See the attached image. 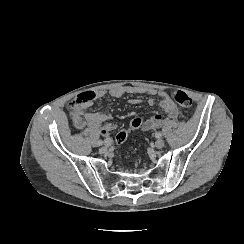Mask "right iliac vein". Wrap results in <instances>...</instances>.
I'll return each mask as SVG.
<instances>
[{
  "label": "right iliac vein",
  "instance_id": "63e3f726",
  "mask_svg": "<svg viewBox=\"0 0 244 244\" xmlns=\"http://www.w3.org/2000/svg\"><path fill=\"white\" fill-rule=\"evenodd\" d=\"M104 145H105L106 147L111 146V145H112V139H111V138H106V139L104 140Z\"/></svg>",
  "mask_w": 244,
  "mask_h": 244
}]
</instances>
